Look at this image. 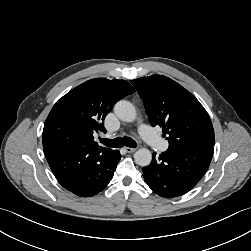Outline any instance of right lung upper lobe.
I'll list each match as a JSON object with an SVG mask.
<instances>
[{
  "instance_id": "1",
  "label": "right lung upper lobe",
  "mask_w": 251,
  "mask_h": 251,
  "mask_svg": "<svg viewBox=\"0 0 251 251\" xmlns=\"http://www.w3.org/2000/svg\"><path fill=\"white\" fill-rule=\"evenodd\" d=\"M134 88L125 80L91 79L75 87L60 98L50 111L43 129V148H49L46 141L47 128L51 123L70 125L78 134L79 148H99L111 153V149L100 147L93 137L94 132L103 131L105 116L114 104L134 93Z\"/></svg>"
}]
</instances>
